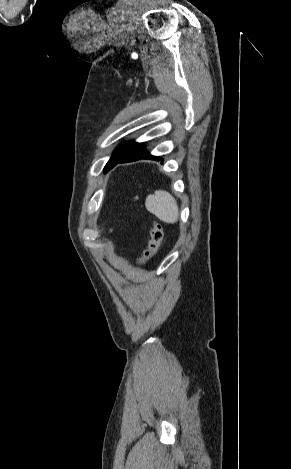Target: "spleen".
<instances>
[{
    "instance_id": "obj_1",
    "label": "spleen",
    "mask_w": 291,
    "mask_h": 469,
    "mask_svg": "<svg viewBox=\"0 0 291 469\" xmlns=\"http://www.w3.org/2000/svg\"><path fill=\"white\" fill-rule=\"evenodd\" d=\"M145 206L149 212L165 223L174 224L179 218L176 200L166 191L157 190L146 198Z\"/></svg>"
}]
</instances>
